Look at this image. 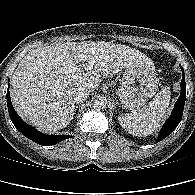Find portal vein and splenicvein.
Here are the masks:
<instances>
[{"instance_id":"portal-vein-and-splenic-vein-1","label":"portal vein and splenic vein","mask_w":195,"mask_h":195,"mask_svg":"<svg viewBox=\"0 0 195 195\" xmlns=\"http://www.w3.org/2000/svg\"><path fill=\"white\" fill-rule=\"evenodd\" d=\"M77 70H78V71H80V70H81V67H80V66H78Z\"/></svg>"}]
</instances>
